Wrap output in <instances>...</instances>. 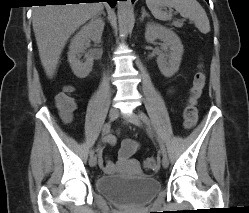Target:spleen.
<instances>
[{
    "mask_svg": "<svg viewBox=\"0 0 249 213\" xmlns=\"http://www.w3.org/2000/svg\"><path fill=\"white\" fill-rule=\"evenodd\" d=\"M146 5L159 20H168L170 15L163 11V7H172L182 17L188 18L195 23L200 32L206 34L210 31V24L205 10L197 0H146Z\"/></svg>",
    "mask_w": 249,
    "mask_h": 213,
    "instance_id": "3e777b00",
    "label": "spleen"
}]
</instances>
